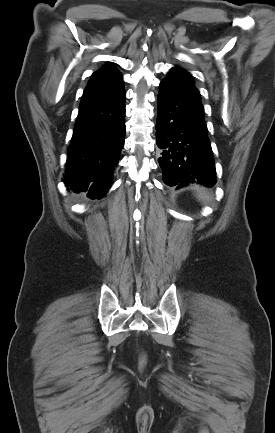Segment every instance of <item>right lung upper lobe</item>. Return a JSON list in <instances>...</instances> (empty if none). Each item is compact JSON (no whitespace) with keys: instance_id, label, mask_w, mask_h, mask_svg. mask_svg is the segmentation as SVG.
<instances>
[{"instance_id":"1","label":"right lung upper lobe","mask_w":275,"mask_h":433,"mask_svg":"<svg viewBox=\"0 0 275 433\" xmlns=\"http://www.w3.org/2000/svg\"><path fill=\"white\" fill-rule=\"evenodd\" d=\"M122 82L123 77L114 67V63L110 62L93 73L84 92L104 87L116 86Z\"/></svg>"}]
</instances>
